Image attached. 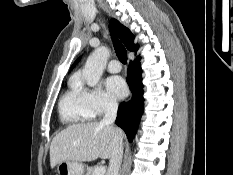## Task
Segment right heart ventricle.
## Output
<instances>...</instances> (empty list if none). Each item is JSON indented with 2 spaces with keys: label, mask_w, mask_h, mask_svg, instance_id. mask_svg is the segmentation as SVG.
Segmentation results:
<instances>
[{
  "label": "right heart ventricle",
  "mask_w": 233,
  "mask_h": 175,
  "mask_svg": "<svg viewBox=\"0 0 233 175\" xmlns=\"http://www.w3.org/2000/svg\"><path fill=\"white\" fill-rule=\"evenodd\" d=\"M59 117L68 124H80L93 119L92 109L77 80L70 83L58 104Z\"/></svg>",
  "instance_id": "obj_1"
}]
</instances>
